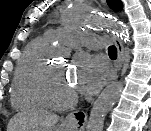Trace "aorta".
I'll list each match as a JSON object with an SVG mask.
<instances>
[{"mask_svg":"<svg viewBox=\"0 0 151 131\" xmlns=\"http://www.w3.org/2000/svg\"><path fill=\"white\" fill-rule=\"evenodd\" d=\"M72 15V11L66 12L64 14V21L66 23L73 22L77 25H88L94 28L108 29L120 34L124 32V28L115 20H107L94 15L87 17L84 21H72ZM55 55L60 56L63 55V53L57 52ZM122 90L123 84L121 82H115L108 85L101 92L91 109L89 120L86 125V131H103L105 117L119 99Z\"/></svg>","mask_w":151,"mask_h":131,"instance_id":"1","label":"aorta"}]
</instances>
